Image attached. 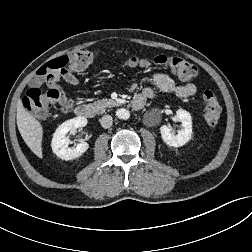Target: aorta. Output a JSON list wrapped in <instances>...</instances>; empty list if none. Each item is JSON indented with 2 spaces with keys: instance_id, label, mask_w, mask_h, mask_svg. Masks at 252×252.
Wrapping results in <instances>:
<instances>
[{
  "instance_id": "aorta-1",
  "label": "aorta",
  "mask_w": 252,
  "mask_h": 252,
  "mask_svg": "<svg viewBox=\"0 0 252 252\" xmlns=\"http://www.w3.org/2000/svg\"><path fill=\"white\" fill-rule=\"evenodd\" d=\"M116 116H117L119 119L127 120V119H129V117H130V113H129L128 110H126V109H124V108H121V109H118V110H117Z\"/></svg>"
}]
</instances>
